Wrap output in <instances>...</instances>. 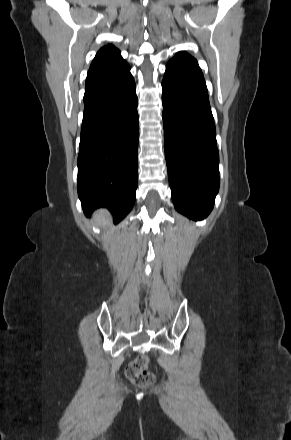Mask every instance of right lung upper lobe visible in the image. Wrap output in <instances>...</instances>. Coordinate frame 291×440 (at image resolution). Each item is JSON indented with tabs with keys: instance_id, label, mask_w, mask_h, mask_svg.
Wrapping results in <instances>:
<instances>
[{
	"instance_id": "obj_1",
	"label": "right lung upper lobe",
	"mask_w": 291,
	"mask_h": 440,
	"mask_svg": "<svg viewBox=\"0 0 291 440\" xmlns=\"http://www.w3.org/2000/svg\"><path fill=\"white\" fill-rule=\"evenodd\" d=\"M128 66L122 58L120 51L109 44L102 47L96 54L88 71V76L105 74L118 71Z\"/></svg>"
}]
</instances>
